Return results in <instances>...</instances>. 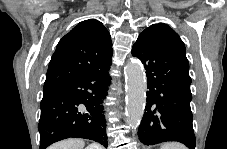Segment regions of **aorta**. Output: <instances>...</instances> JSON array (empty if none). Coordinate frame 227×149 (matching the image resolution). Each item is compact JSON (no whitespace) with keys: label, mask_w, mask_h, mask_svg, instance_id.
Wrapping results in <instances>:
<instances>
[{"label":"aorta","mask_w":227,"mask_h":149,"mask_svg":"<svg viewBox=\"0 0 227 149\" xmlns=\"http://www.w3.org/2000/svg\"><path fill=\"white\" fill-rule=\"evenodd\" d=\"M126 78V121L137 127L144 114L146 104V77L141 64L129 62L125 67Z\"/></svg>","instance_id":"aorta-1"}]
</instances>
